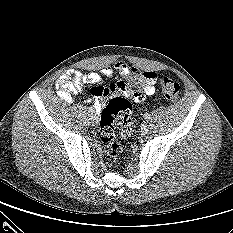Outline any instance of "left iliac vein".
<instances>
[{
    "mask_svg": "<svg viewBox=\"0 0 233 233\" xmlns=\"http://www.w3.org/2000/svg\"><path fill=\"white\" fill-rule=\"evenodd\" d=\"M149 124L148 122H145L141 127V134L146 135L149 132Z\"/></svg>",
    "mask_w": 233,
    "mask_h": 233,
    "instance_id": "1",
    "label": "left iliac vein"
}]
</instances>
